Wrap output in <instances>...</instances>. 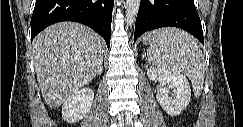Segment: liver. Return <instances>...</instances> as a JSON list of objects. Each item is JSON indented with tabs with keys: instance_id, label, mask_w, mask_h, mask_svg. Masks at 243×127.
I'll list each match as a JSON object with an SVG mask.
<instances>
[{
	"instance_id": "liver-1",
	"label": "liver",
	"mask_w": 243,
	"mask_h": 127,
	"mask_svg": "<svg viewBox=\"0 0 243 127\" xmlns=\"http://www.w3.org/2000/svg\"><path fill=\"white\" fill-rule=\"evenodd\" d=\"M104 41L91 28L61 22L39 33L33 41L34 67L44 101L56 108L98 74Z\"/></svg>"
}]
</instances>
